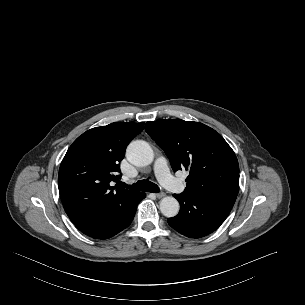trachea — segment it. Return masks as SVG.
<instances>
[{
  "instance_id": "3493384b",
  "label": "trachea",
  "mask_w": 305,
  "mask_h": 305,
  "mask_svg": "<svg viewBox=\"0 0 305 305\" xmlns=\"http://www.w3.org/2000/svg\"><path fill=\"white\" fill-rule=\"evenodd\" d=\"M121 186L129 188L131 190L146 191L151 193H158L160 191L159 187L155 183H152L149 180L137 181L132 185L121 183Z\"/></svg>"
}]
</instances>
